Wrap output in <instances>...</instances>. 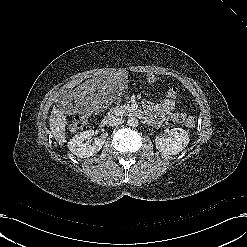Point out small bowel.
<instances>
[{"mask_svg":"<svg viewBox=\"0 0 247 247\" xmlns=\"http://www.w3.org/2000/svg\"><path fill=\"white\" fill-rule=\"evenodd\" d=\"M148 81L154 82L155 76L148 75ZM144 107L147 111L146 120L153 126H160L165 120L175 123H183L185 121L186 115L175 112V103L171 99H166L160 103L145 102Z\"/></svg>","mask_w":247,"mask_h":247,"instance_id":"1","label":"small bowel"}]
</instances>
